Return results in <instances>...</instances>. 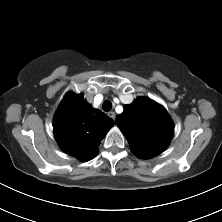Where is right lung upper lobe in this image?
Listing matches in <instances>:
<instances>
[{
    "label": "right lung upper lobe",
    "mask_w": 222,
    "mask_h": 222,
    "mask_svg": "<svg viewBox=\"0 0 222 222\" xmlns=\"http://www.w3.org/2000/svg\"><path fill=\"white\" fill-rule=\"evenodd\" d=\"M113 125V120L93 109L82 94L69 92L59 105L53 127L63 151L88 161L97 155L100 141Z\"/></svg>",
    "instance_id": "right-lung-upper-lobe-1"
}]
</instances>
